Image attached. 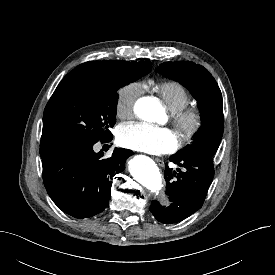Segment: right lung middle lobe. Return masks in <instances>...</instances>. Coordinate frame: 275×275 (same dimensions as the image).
I'll list each match as a JSON object with an SVG mask.
<instances>
[{
	"label": "right lung middle lobe",
	"mask_w": 275,
	"mask_h": 275,
	"mask_svg": "<svg viewBox=\"0 0 275 275\" xmlns=\"http://www.w3.org/2000/svg\"><path fill=\"white\" fill-rule=\"evenodd\" d=\"M151 63L125 62L112 80L89 79L58 85L43 115L42 136L54 148L91 145L112 139L117 91L148 74Z\"/></svg>",
	"instance_id": "1"
}]
</instances>
